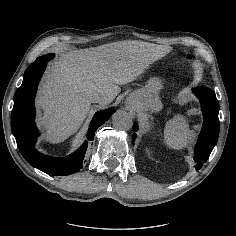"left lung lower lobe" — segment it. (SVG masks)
<instances>
[{
	"label": "left lung lower lobe",
	"mask_w": 236,
	"mask_h": 236,
	"mask_svg": "<svg viewBox=\"0 0 236 236\" xmlns=\"http://www.w3.org/2000/svg\"><path fill=\"white\" fill-rule=\"evenodd\" d=\"M193 92L200 99L201 108L204 116V122L198 142L195 147L194 160L197 162L195 166L199 170L203 163L209 158L214 146L217 143L220 123L218 119L219 102L215 92L207 87H196ZM138 130L137 124L133 125V131ZM136 134H133V141Z\"/></svg>",
	"instance_id": "0a47b994"
}]
</instances>
